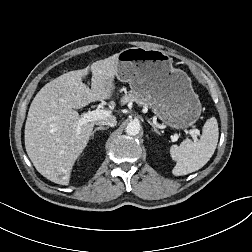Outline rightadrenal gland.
Masks as SVG:
<instances>
[{
	"instance_id": "1",
	"label": "right adrenal gland",
	"mask_w": 252,
	"mask_h": 252,
	"mask_svg": "<svg viewBox=\"0 0 252 252\" xmlns=\"http://www.w3.org/2000/svg\"><path fill=\"white\" fill-rule=\"evenodd\" d=\"M99 130H107V127H97L92 131V138L94 137V133Z\"/></svg>"
}]
</instances>
